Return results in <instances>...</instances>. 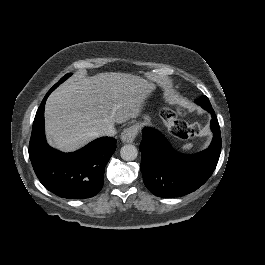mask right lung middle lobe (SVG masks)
Masks as SVG:
<instances>
[{"label":"right lung middle lobe","mask_w":265,"mask_h":265,"mask_svg":"<svg viewBox=\"0 0 265 265\" xmlns=\"http://www.w3.org/2000/svg\"><path fill=\"white\" fill-rule=\"evenodd\" d=\"M72 74H66L65 76H63L58 83H56L51 89L54 90L59 84L63 83L68 77H70Z\"/></svg>","instance_id":"obj_1"}]
</instances>
